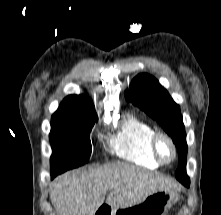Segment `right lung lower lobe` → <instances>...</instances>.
<instances>
[{"mask_svg": "<svg viewBox=\"0 0 221 215\" xmlns=\"http://www.w3.org/2000/svg\"><path fill=\"white\" fill-rule=\"evenodd\" d=\"M55 176L51 175V179H53Z\"/></svg>", "mask_w": 221, "mask_h": 215, "instance_id": "98d812e1", "label": "right lung lower lobe"}]
</instances>
